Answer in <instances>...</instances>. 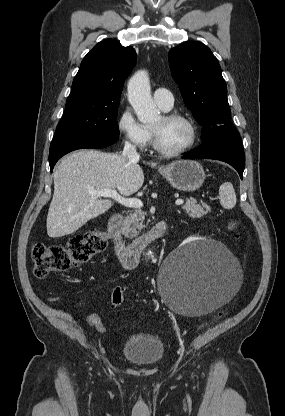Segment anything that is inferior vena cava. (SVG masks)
<instances>
[{
    "instance_id": "obj_1",
    "label": "inferior vena cava",
    "mask_w": 285,
    "mask_h": 416,
    "mask_svg": "<svg viewBox=\"0 0 285 416\" xmlns=\"http://www.w3.org/2000/svg\"><path fill=\"white\" fill-rule=\"evenodd\" d=\"M122 156L123 158H126L129 164H137V162L140 160V156L137 154L135 146H132L130 142H125Z\"/></svg>"
}]
</instances>
